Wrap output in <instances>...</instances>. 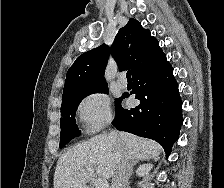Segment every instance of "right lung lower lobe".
<instances>
[{
	"mask_svg": "<svg viewBox=\"0 0 224 188\" xmlns=\"http://www.w3.org/2000/svg\"><path fill=\"white\" fill-rule=\"evenodd\" d=\"M133 82L130 94H135L140 104L130 110L124 109L121 102L129 95L123 94L116 103L112 124L118 130L157 141L168 156L179 138L183 117L178 85L166 55L133 76Z\"/></svg>",
	"mask_w": 224,
	"mask_h": 188,
	"instance_id": "1",
	"label": "right lung lower lobe"
}]
</instances>
